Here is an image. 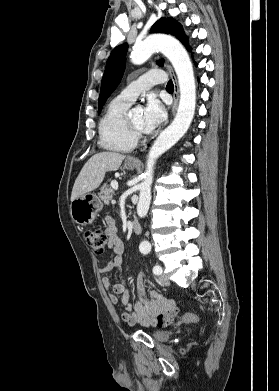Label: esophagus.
<instances>
[{
	"mask_svg": "<svg viewBox=\"0 0 279 391\" xmlns=\"http://www.w3.org/2000/svg\"><path fill=\"white\" fill-rule=\"evenodd\" d=\"M167 69L169 71V74H170L171 79H172L173 84H174V94H173V100L174 101H173V107H172V115H174L175 112H176L177 106H178L179 88H178L177 78L175 76V73H174L172 67L170 65H167ZM129 160L132 161V162H137V160L135 158H130Z\"/></svg>",
	"mask_w": 279,
	"mask_h": 391,
	"instance_id": "obj_1",
	"label": "esophagus"
}]
</instances>
